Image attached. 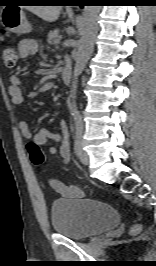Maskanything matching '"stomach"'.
Wrapping results in <instances>:
<instances>
[{
	"instance_id": "0dacf381",
	"label": "stomach",
	"mask_w": 156,
	"mask_h": 266,
	"mask_svg": "<svg viewBox=\"0 0 156 266\" xmlns=\"http://www.w3.org/2000/svg\"><path fill=\"white\" fill-rule=\"evenodd\" d=\"M4 19L6 27L12 32L23 34L31 29L21 9L16 8L11 14L5 15Z\"/></svg>"
}]
</instances>
